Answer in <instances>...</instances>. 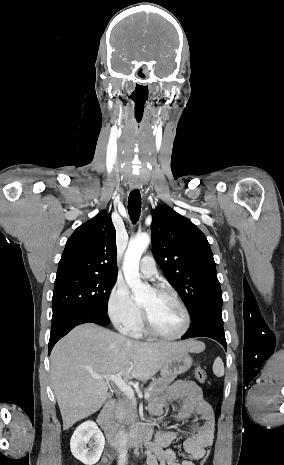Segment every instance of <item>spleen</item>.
I'll return each mask as SVG.
<instances>
[{"instance_id":"3e777b00","label":"spleen","mask_w":284,"mask_h":465,"mask_svg":"<svg viewBox=\"0 0 284 465\" xmlns=\"http://www.w3.org/2000/svg\"><path fill=\"white\" fill-rule=\"evenodd\" d=\"M213 373L216 377H223L225 373L224 363L220 357H217L213 363Z\"/></svg>"}]
</instances>
